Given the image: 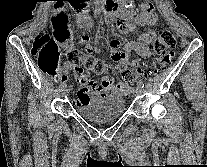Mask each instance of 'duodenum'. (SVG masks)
Masks as SVG:
<instances>
[{
    "label": "duodenum",
    "mask_w": 207,
    "mask_h": 167,
    "mask_svg": "<svg viewBox=\"0 0 207 167\" xmlns=\"http://www.w3.org/2000/svg\"><path fill=\"white\" fill-rule=\"evenodd\" d=\"M102 9L106 12L118 13L120 17L128 18L129 14L120 10L117 0H104Z\"/></svg>",
    "instance_id": "410a0bca"
}]
</instances>
